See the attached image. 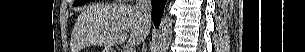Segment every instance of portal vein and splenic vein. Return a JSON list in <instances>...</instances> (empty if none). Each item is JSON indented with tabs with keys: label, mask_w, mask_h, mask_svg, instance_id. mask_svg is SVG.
<instances>
[{
	"label": "portal vein and splenic vein",
	"mask_w": 305,
	"mask_h": 52,
	"mask_svg": "<svg viewBox=\"0 0 305 52\" xmlns=\"http://www.w3.org/2000/svg\"><path fill=\"white\" fill-rule=\"evenodd\" d=\"M127 52H133V50H132V49H130V50H128Z\"/></svg>",
	"instance_id": "obj_1"
}]
</instances>
